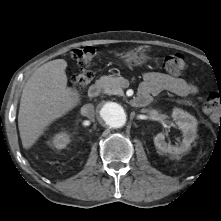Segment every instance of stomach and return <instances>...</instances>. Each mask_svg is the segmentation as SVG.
Returning <instances> with one entry per match:
<instances>
[{
	"label": "stomach",
	"mask_w": 221,
	"mask_h": 221,
	"mask_svg": "<svg viewBox=\"0 0 221 221\" xmlns=\"http://www.w3.org/2000/svg\"><path fill=\"white\" fill-rule=\"evenodd\" d=\"M123 58L128 66H140L147 61L145 51L142 49H130L124 52Z\"/></svg>",
	"instance_id": "0dacf381"
}]
</instances>
